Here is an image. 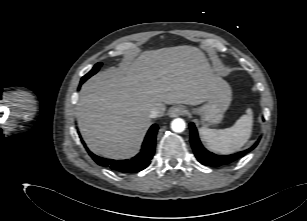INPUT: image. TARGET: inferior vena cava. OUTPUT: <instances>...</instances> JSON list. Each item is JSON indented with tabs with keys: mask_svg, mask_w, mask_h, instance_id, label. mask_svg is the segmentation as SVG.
Wrapping results in <instances>:
<instances>
[{
	"mask_svg": "<svg viewBox=\"0 0 307 221\" xmlns=\"http://www.w3.org/2000/svg\"><path fill=\"white\" fill-rule=\"evenodd\" d=\"M160 115V111L158 109L151 110L149 117L150 118H157Z\"/></svg>",
	"mask_w": 307,
	"mask_h": 221,
	"instance_id": "obj_1",
	"label": "inferior vena cava"
}]
</instances>
